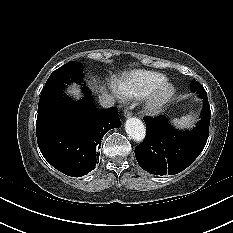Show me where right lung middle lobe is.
Here are the masks:
<instances>
[{
  "label": "right lung middle lobe",
  "instance_id": "1",
  "mask_svg": "<svg viewBox=\"0 0 233 233\" xmlns=\"http://www.w3.org/2000/svg\"><path fill=\"white\" fill-rule=\"evenodd\" d=\"M83 70L80 63L71 61L55 70L48 78L38 104V116L61 107L66 101L63 90L66 84L82 80Z\"/></svg>",
  "mask_w": 233,
  "mask_h": 233
}]
</instances>
